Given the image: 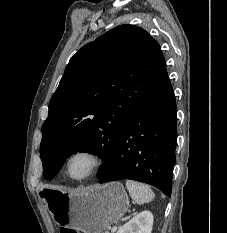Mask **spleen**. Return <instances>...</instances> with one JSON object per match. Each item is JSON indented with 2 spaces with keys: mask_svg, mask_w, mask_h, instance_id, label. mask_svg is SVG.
<instances>
[{
  "mask_svg": "<svg viewBox=\"0 0 227 233\" xmlns=\"http://www.w3.org/2000/svg\"><path fill=\"white\" fill-rule=\"evenodd\" d=\"M126 187L132 200L139 205L151 202L155 197L151 188L146 184L134 180H127Z\"/></svg>",
  "mask_w": 227,
  "mask_h": 233,
  "instance_id": "3e777b00",
  "label": "spleen"
}]
</instances>
